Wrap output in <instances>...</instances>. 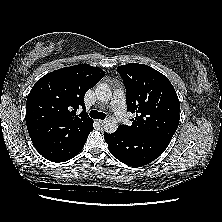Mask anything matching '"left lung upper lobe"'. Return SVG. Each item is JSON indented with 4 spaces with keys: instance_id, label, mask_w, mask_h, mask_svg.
I'll return each mask as SVG.
<instances>
[{
    "instance_id": "1",
    "label": "left lung upper lobe",
    "mask_w": 222,
    "mask_h": 222,
    "mask_svg": "<svg viewBox=\"0 0 222 222\" xmlns=\"http://www.w3.org/2000/svg\"><path fill=\"white\" fill-rule=\"evenodd\" d=\"M117 70L126 88L127 111L136 115L131 126L118 129L172 138L179 125L180 103L169 79L144 64L129 63Z\"/></svg>"
}]
</instances>
